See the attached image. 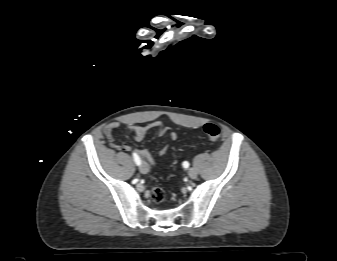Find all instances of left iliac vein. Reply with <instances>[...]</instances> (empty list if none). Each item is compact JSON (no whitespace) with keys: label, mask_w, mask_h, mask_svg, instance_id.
<instances>
[{"label":"left iliac vein","mask_w":337,"mask_h":261,"mask_svg":"<svg viewBox=\"0 0 337 261\" xmlns=\"http://www.w3.org/2000/svg\"><path fill=\"white\" fill-rule=\"evenodd\" d=\"M188 175L191 179H196L197 175H198V172L195 168H190L188 170Z\"/></svg>","instance_id":"4c4485c4"}]
</instances>
